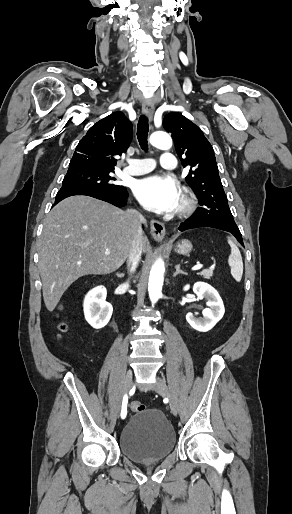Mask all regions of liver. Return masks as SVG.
Returning <instances> with one entry per match:
<instances>
[{"label": "liver", "mask_w": 292, "mask_h": 514, "mask_svg": "<svg viewBox=\"0 0 292 514\" xmlns=\"http://www.w3.org/2000/svg\"><path fill=\"white\" fill-rule=\"evenodd\" d=\"M123 212L90 196H71L47 214L38 268L44 304L55 310L65 290L88 274H111L124 264L136 230ZM148 240L143 238L145 252ZM109 250L110 254H105Z\"/></svg>", "instance_id": "obj_1"}]
</instances>
